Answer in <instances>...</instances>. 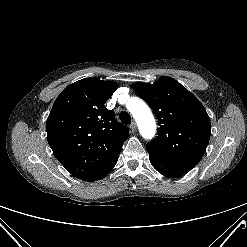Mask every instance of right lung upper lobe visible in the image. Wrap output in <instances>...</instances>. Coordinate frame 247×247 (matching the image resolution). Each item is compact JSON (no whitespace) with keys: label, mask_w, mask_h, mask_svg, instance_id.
Instances as JSON below:
<instances>
[{"label":"right lung upper lobe","mask_w":247,"mask_h":247,"mask_svg":"<svg viewBox=\"0 0 247 247\" xmlns=\"http://www.w3.org/2000/svg\"><path fill=\"white\" fill-rule=\"evenodd\" d=\"M118 84L85 78L66 87L46 122L47 140L58 161L84 180L119 156L128 128L104 104Z\"/></svg>","instance_id":"obj_1"}]
</instances>
